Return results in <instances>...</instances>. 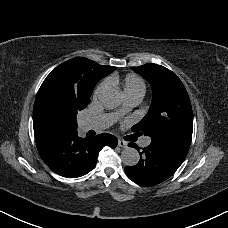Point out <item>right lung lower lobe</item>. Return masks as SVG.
<instances>
[{
	"instance_id": "1",
	"label": "right lung lower lobe",
	"mask_w": 228,
	"mask_h": 228,
	"mask_svg": "<svg viewBox=\"0 0 228 228\" xmlns=\"http://www.w3.org/2000/svg\"><path fill=\"white\" fill-rule=\"evenodd\" d=\"M115 136L102 133L96 137L78 136V131H65L36 140L43 161L55 173L67 177H80L90 172L97 162V155L104 146L115 148Z\"/></svg>"
}]
</instances>
